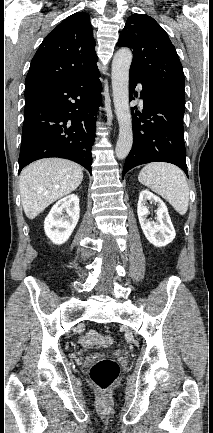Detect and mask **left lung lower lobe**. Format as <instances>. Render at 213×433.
Returning <instances> with one entry per match:
<instances>
[{"label": "left lung lower lobe", "mask_w": 213, "mask_h": 433, "mask_svg": "<svg viewBox=\"0 0 213 433\" xmlns=\"http://www.w3.org/2000/svg\"><path fill=\"white\" fill-rule=\"evenodd\" d=\"M142 84L140 97L143 111L131 109L133 146L125 161L123 176L133 167L150 162H168L180 167L188 176L183 137L184 103L151 89L130 72L129 97L137 96L134 88Z\"/></svg>", "instance_id": "obj_1"}]
</instances>
